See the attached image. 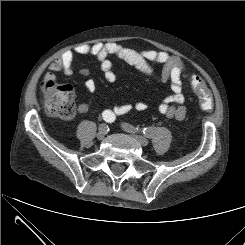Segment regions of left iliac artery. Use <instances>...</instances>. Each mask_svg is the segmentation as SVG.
I'll list each match as a JSON object with an SVG mask.
<instances>
[{
    "instance_id": "obj_1",
    "label": "left iliac artery",
    "mask_w": 245,
    "mask_h": 245,
    "mask_svg": "<svg viewBox=\"0 0 245 245\" xmlns=\"http://www.w3.org/2000/svg\"><path fill=\"white\" fill-rule=\"evenodd\" d=\"M155 128L153 127H146L143 128L142 132L145 134L147 137H151L155 133Z\"/></svg>"
}]
</instances>
